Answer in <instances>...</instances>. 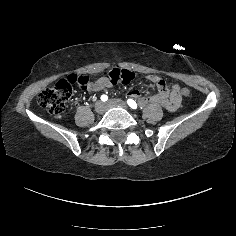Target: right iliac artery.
<instances>
[{
    "label": "right iliac artery",
    "mask_w": 236,
    "mask_h": 236,
    "mask_svg": "<svg viewBox=\"0 0 236 236\" xmlns=\"http://www.w3.org/2000/svg\"><path fill=\"white\" fill-rule=\"evenodd\" d=\"M108 100V96L107 95H102L101 96V101L105 102Z\"/></svg>",
    "instance_id": "82829eb1"
}]
</instances>
